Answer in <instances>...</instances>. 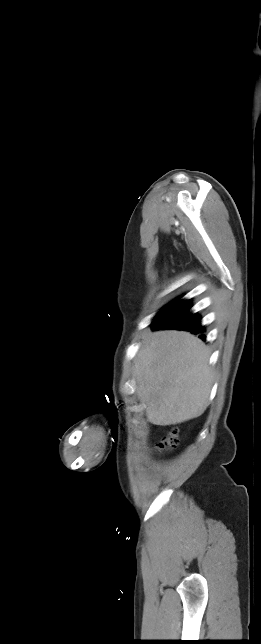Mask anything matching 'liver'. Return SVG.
Returning <instances> with one entry per match:
<instances>
[{"label":"liver","instance_id":"obj_1","mask_svg":"<svg viewBox=\"0 0 261 644\" xmlns=\"http://www.w3.org/2000/svg\"><path fill=\"white\" fill-rule=\"evenodd\" d=\"M210 352L194 335L175 330L148 333L135 358L136 392L154 425H175L206 410L213 383Z\"/></svg>","mask_w":261,"mask_h":644}]
</instances>
